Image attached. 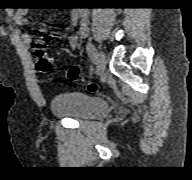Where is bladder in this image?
<instances>
[{
    "label": "bladder",
    "mask_w": 192,
    "mask_h": 180,
    "mask_svg": "<svg viewBox=\"0 0 192 180\" xmlns=\"http://www.w3.org/2000/svg\"><path fill=\"white\" fill-rule=\"evenodd\" d=\"M50 108L55 117L76 121L102 117L110 111V105L106 100L77 92L53 97Z\"/></svg>",
    "instance_id": "1"
}]
</instances>
